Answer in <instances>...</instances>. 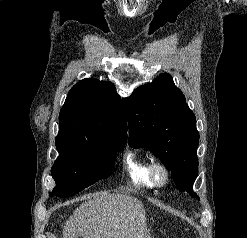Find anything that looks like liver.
Returning a JSON list of instances; mask_svg holds the SVG:
<instances>
[{"instance_id": "obj_1", "label": "liver", "mask_w": 247, "mask_h": 238, "mask_svg": "<svg viewBox=\"0 0 247 238\" xmlns=\"http://www.w3.org/2000/svg\"><path fill=\"white\" fill-rule=\"evenodd\" d=\"M145 209L138 199L96 193L66 221L63 238H150Z\"/></svg>"}]
</instances>
